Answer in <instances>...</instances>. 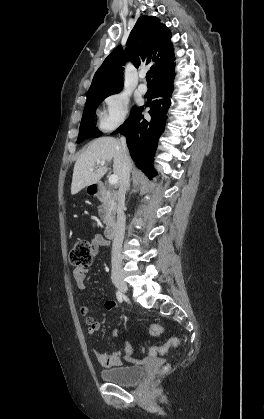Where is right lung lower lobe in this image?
<instances>
[{
    "instance_id": "right-lung-lower-lobe-1",
    "label": "right lung lower lobe",
    "mask_w": 264,
    "mask_h": 419,
    "mask_svg": "<svg viewBox=\"0 0 264 419\" xmlns=\"http://www.w3.org/2000/svg\"><path fill=\"white\" fill-rule=\"evenodd\" d=\"M174 75V72H169L153 81L155 100L149 105L151 119H144L142 115L144 107H139L114 132L126 135L133 161L148 177L156 175L152 165L153 156L158 139L164 131L165 117L171 103Z\"/></svg>"
}]
</instances>
